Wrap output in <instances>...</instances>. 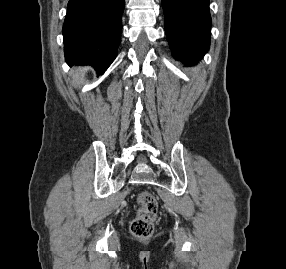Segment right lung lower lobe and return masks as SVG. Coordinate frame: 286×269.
Masks as SVG:
<instances>
[{
  "instance_id": "right-lung-lower-lobe-1",
  "label": "right lung lower lobe",
  "mask_w": 286,
  "mask_h": 269,
  "mask_svg": "<svg viewBox=\"0 0 286 269\" xmlns=\"http://www.w3.org/2000/svg\"><path fill=\"white\" fill-rule=\"evenodd\" d=\"M123 10L124 0H69L63 24L66 62L106 71L117 54Z\"/></svg>"
}]
</instances>
